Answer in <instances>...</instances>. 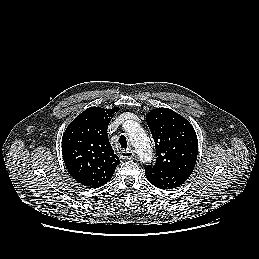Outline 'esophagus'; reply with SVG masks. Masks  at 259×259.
Wrapping results in <instances>:
<instances>
[{
    "label": "esophagus",
    "instance_id": "34e87169",
    "mask_svg": "<svg viewBox=\"0 0 259 259\" xmlns=\"http://www.w3.org/2000/svg\"><path fill=\"white\" fill-rule=\"evenodd\" d=\"M135 156L134 152L132 150H121L120 151V157L122 159H133Z\"/></svg>",
    "mask_w": 259,
    "mask_h": 259
}]
</instances>
